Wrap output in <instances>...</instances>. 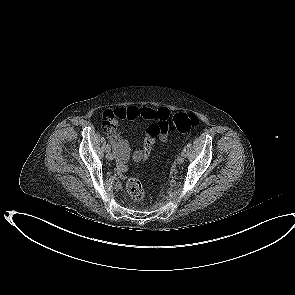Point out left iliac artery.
<instances>
[{
	"mask_svg": "<svg viewBox=\"0 0 295 295\" xmlns=\"http://www.w3.org/2000/svg\"><path fill=\"white\" fill-rule=\"evenodd\" d=\"M181 154H182L183 156H186V148H183Z\"/></svg>",
	"mask_w": 295,
	"mask_h": 295,
	"instance_id": "left-iliac-artery-1",
	"label": "left iliac artery"
}]
</instances>
